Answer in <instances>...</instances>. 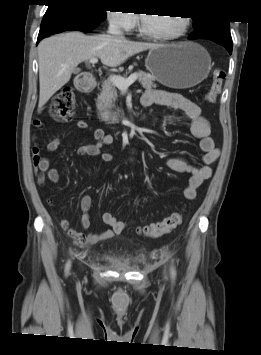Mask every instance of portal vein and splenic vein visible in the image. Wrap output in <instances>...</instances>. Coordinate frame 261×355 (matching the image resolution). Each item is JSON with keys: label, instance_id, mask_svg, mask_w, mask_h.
<instances>
[{"label": "portal vein and splenic vein", "instance_id": "portal-vein-and-splenic-vein-1", "mask_svg": "<svg viewBox=\"0 0 261 355\" xmlns=\"http://www.w3.org/2000/svg\"><path fill=\"white\" fill-rule=\"evenodd\" d=\"M97 62L98 58L96 57L90 59L91 64H95ZM138 76L139 75L137 73H134L125 79L121 76L111 75L109 79L118 89H120L121 91H126L128 87L137 80Z\"/></svg>", "mask_w": 261, "mask_h": 355}]
</instances>
